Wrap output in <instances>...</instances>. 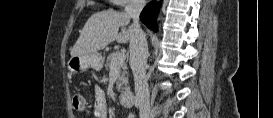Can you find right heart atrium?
I'll use <instances>...</instances> for the list:
<instances>
[{
    "mask_svg": "<svg viewBox=\"0 0 273 118\" xmlns=\"http://www.w3.org/2000/svg\"><path fill=\"white\" fill-rule=\"evenodd\" d=\"M117 4H119L121 7H127L129 6L133 1L132 0H116Z\"/></svg>",
    "mask_w": 273,
    "mask_h": 118,
    "instance_id": "d8ad5b80",
    "label": "right heart atrium"
}]
</instances>
